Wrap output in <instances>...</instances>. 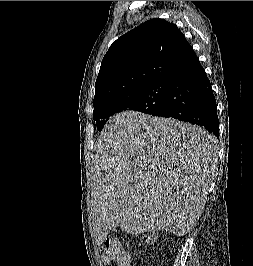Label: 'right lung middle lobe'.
<instances>
[{
	"label": "right lung middle lobe",
	"instance_id": "right-lung-middle-lobe-1",
	"mask_svg": "<svg viewBox=\"0 0 253 266\" xmlns=\"http://www.w3.org/2000/svg\"><path fill=\"white\" fill-rule=\"evenodd\" d=\"M169 82H152L94 105L93 119L101 131L108 118L121 111H139L157 115L161 112Z\"/></svg>",
	"mask_w": 253,
	"mask_h": 266
}]
</instances>
